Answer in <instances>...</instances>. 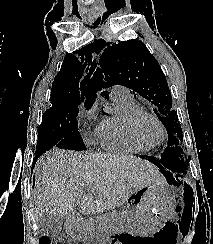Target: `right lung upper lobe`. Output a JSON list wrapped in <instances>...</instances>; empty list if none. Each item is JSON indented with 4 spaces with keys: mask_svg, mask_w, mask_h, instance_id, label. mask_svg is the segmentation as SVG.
Returning <instances> with one entry per match:
<instances>
[{
    "mask_svg": "<svg viewBox=\"0 0 213 244\" xmlns=\"http://www.w3.org/2000/svg\"><path fill=\"white\" fill-rule=\"evenodd\" d=\"M95 61L82 57L78 60L71 53L66 54L61 70L56 75L51 89V103L53 105H79L84 104L91 107L95 93L90 79L94 69Z\"/></svg>",
    "mask_w": 213,
    "mask_h": 244,
    "instance_id": "right-lung-upper-lobe-1",
    "label": "right lung upper lobe"
}]
</instances>
